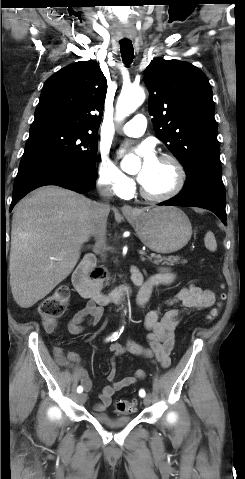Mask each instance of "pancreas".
<instances>
[{
  "instance_id": "cf45deb5",
  "label": "pancreas",
  "mask_w": 245,
  "mask_h": 479,
  "mask_svg": "<svg viewBox=\"0 0 245 479\" xmlns=\"http://www.w3.org/2000/svg\"><path fill=\"white\" fill-rule=\"evenodd\" d=\"M153 264L159 265L160 263L162 265H170L173 266L174 264H185L187 263V260H181L180 257L178 256H168V257H162L161 255H155L154 258L149 257L148 258ZM108 280V277H107Z\"/></svg>"
}]
</instances>
